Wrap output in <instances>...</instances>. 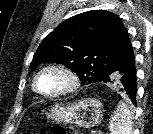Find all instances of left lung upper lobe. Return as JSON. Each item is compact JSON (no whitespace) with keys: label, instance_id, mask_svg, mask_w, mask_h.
I'll use <instances>...</instances> for the list:
<instances>
[{"label":"left lung upper lobe","instance_id":"left-lung-upper-lobe-1","mask_svg":"<svg viewBox=\"0 0 153 134\" xmlns=\"http://www.w3.org/2000/svg\"><path fill=\"white\" fill-rule=\"evenodd\" d=\"M133 50L122 20L105 10L87 11L63 21L39 45L33 68L61 63L78 74L82 86L110 78ZM117 87V83L113 82Z\"/></svg>","mask_w":153,"mask_h":134}]
</instances>
